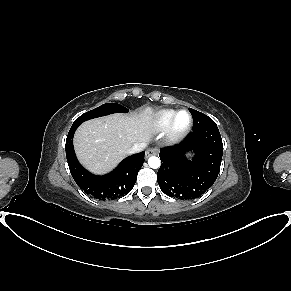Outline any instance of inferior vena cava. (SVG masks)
Listing matches in <instances>:
<instances>
[{
  "mask_svg": "<svg viewBox=\"0 0 291 291\" xmlns=\"http://www.w3.org/2000/svg\"><path fill=\"white\" fill-rule=\"evenodd\" d=\"M145 147H146V143H136L132 148L128 150V153L134 154V153L141 152L145 149Z\"/></svg>",
  "mask_w": 291,
  "mask_h": 291,
  "instance_id": "obj_1",
  "label": "inferior vena cava"
}]
</instances>
